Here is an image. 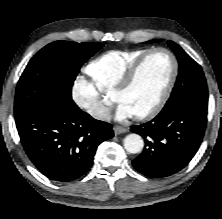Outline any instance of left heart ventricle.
<instances>
[{"mask_svg": "<svg viewBox=\"0 0 222 219\" xmlns=\"http://www.w3.org/2000/svg\"><path fill=\"white\" fill-rule=\"evenodd\" d=\"M171 59L164 52L150 55L141 65L131 87L115 99L135 115L152 108L163 94L171 73Z\"/></svg>", "mask_w": 222, "mask_h": 219, "instance_id": "1", "label": "left heart ventricle"}]
</instances>
